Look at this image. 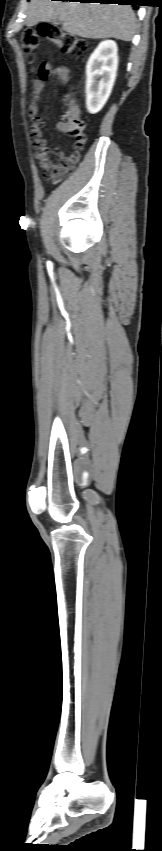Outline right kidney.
<instances>
[{
  "label": "right kidney",
  "mask_w": 162,
  "mask_h": 851,
  "mask_svg": "<svg viewBox=\"0 0 162 851\" xmlns=\"http://www.w3.org/2000/svg\"><path fill=\"white\" fill-rule=\"evenodd\" d=\"M117 50L114 41H102L87 62L85 91L90 114L98 113L110 96L118 67Z\"/></svg>",
  "instance_id": "ca27d5eb"
}]
</instances>
